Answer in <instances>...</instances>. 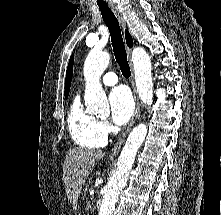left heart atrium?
<instances>
[{
  "instance_id": "1",
  "label": "left heart atrium",
  "mask_w": 221,
  "mask_h": 215,
  "mask_svg": "<svg viewBox=\"0 0 221 215\" xmlns=\"http://www.w3.org/2000/svg\"><path fill=\"white\" fill-rule=\"evenodd\" d=\"M111 118L117 125H124L132 116L134 102L129 89L125 86L114 88L109 96Z\"/></svg>"
}]
</instances>
